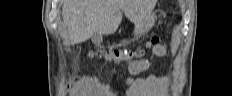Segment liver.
<instances>
[{
  "label": "liver",
  "mask_w": 232,
  "mask_h": 96,
  "mask_svg": "<svg viewBox=\"0 0 232 96\" xmlns=\"http://www.w3.org/2000/svg\"><path fill=\"white\" fill-rule=\"evenodd\" d=\"M156 0H64L62 15L67 44L86 41L94 33H114L125 16L137 26L152 12Z\"/></svg>",
  "instance_id": "1"
}]
</instances>
